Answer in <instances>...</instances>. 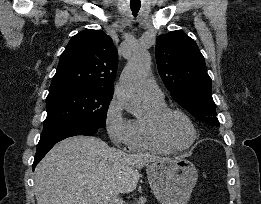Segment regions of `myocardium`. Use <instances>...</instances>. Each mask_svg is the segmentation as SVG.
<instances>
[{
	"label": "myocardium",
	"mask_w": 261,
	"mask_h": 204,
	"mask_svg": "<svg viewBox=\"0 0 261 204\" xmlns=\"http://www.w3.org/2000/svg\"><path fill=\"white\" fill-rule=\"evenodd\" d=\"M173 115H178V116L182 117L189 124V126L192 129L193 137H192L191 141L185 146H178V145L174 144L168 138V136L165 132V124H166L167 120ZM153 128H154L156 137L164 145H166L167 147L171 148L174 151H184V150L189 149L196 142L197 137H198L197 128H196L194 122L192 121V119L190 118V116L178 108L167 107L164 110H162L161 112H159L154 118Z\"/></svg>",
	"instance_id": "1"
}]
</instances>
